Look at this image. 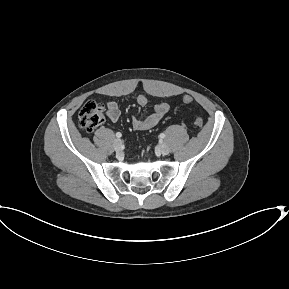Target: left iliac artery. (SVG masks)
I'll return each instance as SVG.
<instances>
[{
  "label": "left iliac artery",
  "instance_id": "1",
  "mask_svg": "<svg viewBox=\"0 0 289 289\" xmlns=\"http://www.w3.org/2000/svg\"><path fill=\"white\" fill-rule=\"evenodd\" d=\"M159 137H160L161 139H163V138H165V134H164V133H161V134L159 135Z\"/></svg>",
  "mask_w": 289,
  "mask_h": 289
}]
</instances>
